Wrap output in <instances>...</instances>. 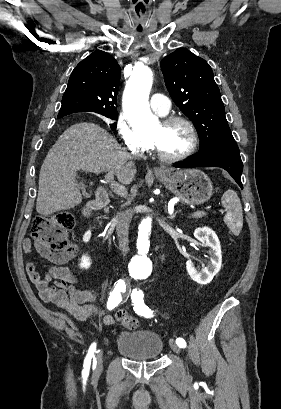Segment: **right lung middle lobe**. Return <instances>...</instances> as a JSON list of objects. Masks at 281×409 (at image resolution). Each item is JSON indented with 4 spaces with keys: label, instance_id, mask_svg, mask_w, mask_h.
I'll return each mask as SVG.
<instances>
[{
    "label": "right lung middle lobe",
    "instance_id": "dd1d6c3e",
    "mask_svg": "<svg viewBox=\"0 0 281 409\" xmlns=\"http://www.w3.org/2000/svg\"><path fill=\"white\" fill-rule=\"evenodd\" d=\"M101 115H104L107 118H110L112 120H117V118H118V113L117 112L101 113Z\"/></svg>",
    "mask_w": 281,
    "mask_h": 409
}]
</instances>
